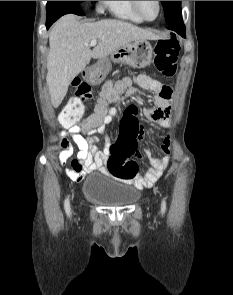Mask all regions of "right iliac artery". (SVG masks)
I'll return each mask as SVG.
<instances>
[{
	"label": "right iliac artery",
	"mask_w": 233,
	"mask_h": 295,
	"mask_svg": "<svg viewBox=\"0 0 233 295\" xmlns=\"http://www.w3.org/2000/svg\"><path fill=\"white\" fill-rule=\"evenodd\" d=\"M64 207H65V211H66L67 215H70V213H71V209H70L69 198H66V199H65Z\"/></svg>",
	"instance_id": "obj_1"
}]
</instances>
